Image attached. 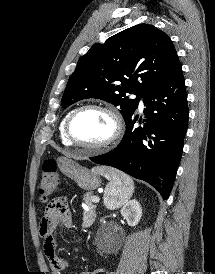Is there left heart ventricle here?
Segmentation results:
<instances>
[{
	"instance_id": "b2bd125f",
	"label": "left heart ventricle",
	"mask_w": 215,
	"mask_h": 274,
	"mask_svg": "<svg viewBox=\"0 0 215 274\" xmlns=\"http://www.w3.org/2000/svg\"><path fill=\"white\" fill-rule=\"evenodd\" d=\"M73 136L85 144H99L113 132V122L108 114L96 109L80 112L71 126Z\"/></svg>"
}]
</instances>
